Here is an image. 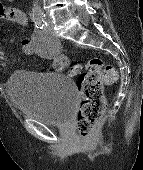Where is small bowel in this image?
<instances>
[{"label":"small bowel","instance_id":"small-bowel-1","mask_svg":"<svg viewBox=\"0 0 143 170\" xmlns=\"http://www.w3.org/2000/svg\"><path fill=\"white\" fill-rule=\"evenodd\" d=\"M0 21H5L10 24H15L23 28L27 25V16L25 12L20 8L6 6L0 3ZM21 46L26 54L32 55L37 53V50L33 42L30 41L29 39H22ZM59 57H64V56H55L53 57L52 60V66L57 70H59L62 67V64L59 61ZM65 60L67 62L66 58ZM5 64H6L5 55L2 49L0 48V66H5Z\"/></svg>","mask_w":143,"mask_h":170}]
</instances>
